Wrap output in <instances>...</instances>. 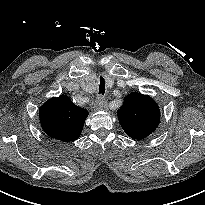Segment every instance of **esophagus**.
<instances>
[{"instance_id": "34e87169", "label": "esophagus", "mask_w": 205, "mask_h": 205, "mask_svg": "<svg viewBox=\"0 0 205 205\" xmlns=\"http://www.w3.org/2000/svg\"><path fill=\"white\" fill-rule=\"evenodd\" d=\"M95 108L97 110H103L107 108V100L103 96H99L95 102Z\"/></svg>"}]
</instances>
